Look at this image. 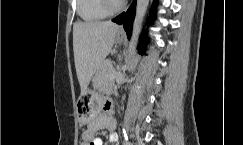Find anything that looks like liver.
<instances>
[{"mask_svg": "<svg viewBox=\"0 0 243 145\" xmlns=\"http://www.w3.org/2000/svg\"><path fill=\"white\" fill-rule=\"evenodd\" d=\"M119 26L110 21L75 22L73 25V50L75 68L81 93L110 53Z\"/></svg>", "mask_w": 243, "mask_h": 145, "instance_id": "1", "label": "liver"}]
</instances>
